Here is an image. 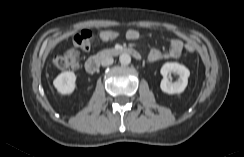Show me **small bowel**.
<instances>
[{"mask_svg": "<svg viewBox=\"0 0 244 157\" xmlns=\"http://www.w3.org/2000/svg\"><path fill=\"white\" fill-rule=\"evenodd\" d=\"M125 37L129 41L139 39L140 33L135 29L127 30ZM183 51V42L179 39L173 38L170 40L169 49L162 51L158 48H153L148 54V60L152 63L158 62L163 59H176L179 58Z\"/></svg>", "mask_w": 244, "mask_h": 157, "instance_id": "small-bowel-1", "label": "small bowel"}]
</instances>
